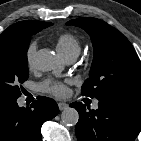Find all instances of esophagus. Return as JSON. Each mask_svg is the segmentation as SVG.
<instances>
[{
	"label": "esophagus",
	"instance_id": "esophagus-1",
	"mask_svg": "<svg viewBox=\"0 0 141 141\" xmlns=\"http://www.w3.org/2000/svg\"><path fill=\"white\" fill-rule=\"evenodd\" d=\"M58 107H59V110H65L68 108V104L67 103H64V102H59L58 103Z\"/></svg>",
	"mask_w": 141,
	"mask_h": 141
}]
</instances>
